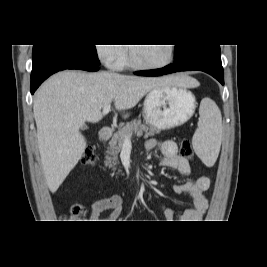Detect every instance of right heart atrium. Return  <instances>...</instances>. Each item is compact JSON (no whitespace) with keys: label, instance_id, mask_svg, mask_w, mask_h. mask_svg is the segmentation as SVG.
I'll return each instance as SVG.
<instances>
[{"label":"right heart atrium","instance_id":"1","mask_svg":"<svg viewBox=\"0 0 267 267\" xmlns=\"http://www.w3.org/2000/svg\"><path fill=\"white\" fill-rule=\"evenodd\" d=\"M96 54L101 62L110 69H118L124 49L119 45H97Z\"/></svg>","mask_w":267,"mask_h":267}]
</instances>
